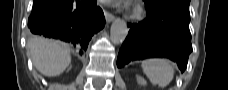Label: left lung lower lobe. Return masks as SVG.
<instances>
[{
  "mask_svg": "<svg viewBox=\"0 0 228 90\" xmlns=\"http://www.w3.org/2000/svg\"><path fill=\"white\" fill-rule=\"evenodd\" d=\"M144 3L146 19L128 24L131 30L119 51L117 66L122 67L132 60L166 56L183 72L192 52L189 10L172 11L152 1Z\"/></svg>",
  "mask_w": 228,
  "mask_h": 90,
  "instance_id": "1",
  "label": "left lung lower lobe"
}]
</instances>
